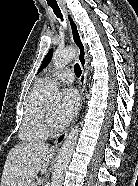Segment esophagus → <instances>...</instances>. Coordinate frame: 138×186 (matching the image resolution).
<instances>
[{
	"instance_id": "34e87169",
	"label": "esophagus",
	"mask_w": 138,
	"mask_h": 186,
	"mask_svg": "<svg viewBox=\"0 0 138 186\" xmlns=\"http://www.w3.org/2000/svg\"><path fill=\"white\" fill-rule=\"evenodd\" d=\"M60 5L67 18V21L70 27L72 42L74 43L78 51L76 60L82 69V75H81L80 82H79V88H80L81 96H83L84 89H85V83H86V77H87V65H88V56L86 52V47L83 43L80 31H79V27L76 21L74 20L72 14L68 11V9L66 8L63 2H60ZM69 131L70 129L66 130L65 132L59 134L56 137L54 141V147H59L63 143Z\"/></svg>"
}]
</instances>
